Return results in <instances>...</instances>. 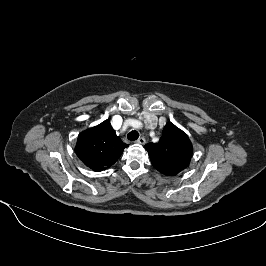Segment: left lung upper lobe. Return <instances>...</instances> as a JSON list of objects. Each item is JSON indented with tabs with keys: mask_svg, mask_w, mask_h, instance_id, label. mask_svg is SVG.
I'll return each mask as SVG.
<instances>
[{
	"mask_svg": "<svg viewBox=\"0 0 266 266\" xmlns=\"http://www.w3.org/2000/svg\"><path fill=\"white\" fill-rule=\"evenodd\" d=\"M145 148L154 168L166 176L186 169L193 151L188 136L173 123L165 125L158 143H148Z\"/></svg>",
	"mask_w": 266,
	"mask_h": 266,
	"instance_id": "5c2ea615",
	"label": "left lung upper lobe"
}]
</instances>
